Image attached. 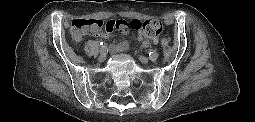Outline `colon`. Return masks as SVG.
Here are the masks:
<instances>
[{
    "mask_svg": "<svg viewBox=\"0 0 255 122\" xmlns=\"http://www.w3.org/2000/svg\"><path fill=\"white\" fill-rule=\"evenodd\" d=\"M132 29L139 30L147 37L156 38L163 31V24L157 19H149L140 21L133 20H110L104 22L100 19H76L72 23L71 35L74 39L78 40L86 31H111L113 29Z\"/></svg>",
    "mask_w": 255,
    "mask_h": 122,
    "instance_id": "colon-1",
    "label": "colon"
}]
</instances>
